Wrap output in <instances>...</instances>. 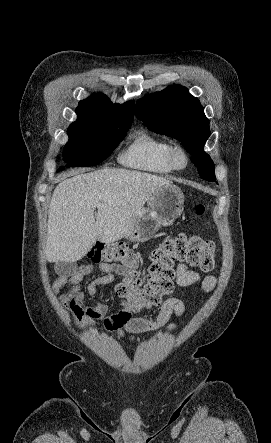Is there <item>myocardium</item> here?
<instances>
[{"instance_id":"myocardium-1","label":"myocardium","mask_w":271,"mask_h":443,"mask_svg":"<svg viewBox=\"0 0 271 443\" xmlns=\"http://www.w3.org/2000/svg\"><path fill=\"white\" fill-rule=\"evenodd\" d=\"M179 153H181L185 158L186 162L184 165H181L178 162L177 157H178ZM168 158H169V161H170L172 167L178 171H183V170L187 169L191 164V155H190L189 151L187 150V148L181 144H172L170 146L169 152H168Z\"/></svg>"}]
</instances>
